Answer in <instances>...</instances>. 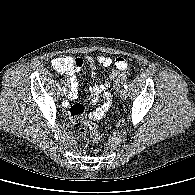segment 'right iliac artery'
<instances>
[{
    "label": "right iliac artery",
    "instance_id": "right-iliac-artery-1",
    "mask_svg": "<svg viewBox=\"0 0 195 195\" xmlns=\"http://www.w3.org/2000/svg\"><path fill=\"white\" fill-rule=\"evenodd\" d=\"M62 85H65V82L64 81H61Z\"/></svg>",
    "mask_w": 195,
    "mask_h": 195
}]
</instances>
